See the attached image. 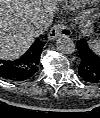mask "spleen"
Listing matches in <instances>:
<instances>
[{
    "label": "spleen",
    "mask_w": 100,
    "mask_h": 118,
    "mask_svg": "<svg viewBox=\"0 0 100 118\" xmlns=\"http://www.w3.org/2000/svg\"><path fill=\"white\" fill-rule=\"evenodd\" d=\"M89 46L95 53H99L100 44L98 41L94 40V41L90 42Z\"/></svg>",
    "instance_id": "3e777b00"
}]
</instances>
